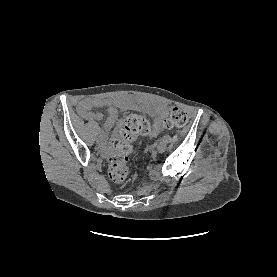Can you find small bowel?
I'll use <instances>...</instances> for the list:
<instances>
[{"label": "small bowel", "instance_id": "c3829d8e", "mask_svg": "<svg viewBox=\"0 0 277 277\" xmlns=\"http://www.w3.org/2000/svg\"><path fill=\"white\" fill-rule=\"evenodd\" d=\"M147 106L149 113L154 117L155 122L153 129L150 133L151 137L158 136L163 130V120L167 113V108L163 104L159 103H145L132 96H120L113 99L109 98H86L83 99L77 106L78 114L85 120L90 122L101 121L104 119V115L99 111H94V108L107 107V113L105 116L104 132H108L117 123L118 127L121 126V122L118 121L120 111L128 109L140 110ZM120 132L119 128L114 130L113 135L117 136Z\"/></svg>", "mask_w": 277, "mask_h": 277}]
</instances>
